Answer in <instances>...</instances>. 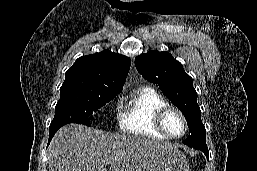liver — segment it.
<instances>
[{
    "label": "liver",
    "mask_w": 257,
    "mask_h": 171,
    "mask_svg": "<svg viewBox=\"0 0 257 171\" xmlns=\"http://www.w3.org/2000/svg\"><path fill=\"white\" fill-rule=\"evenodd\" d=\"M176 146L140 136L110 134L81 124H68L53 137L49 171H136L154 149ZM107 171V170H106Z\"/></svg>",
    "instance_id": "1"
}]
</instances>
